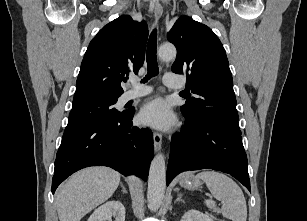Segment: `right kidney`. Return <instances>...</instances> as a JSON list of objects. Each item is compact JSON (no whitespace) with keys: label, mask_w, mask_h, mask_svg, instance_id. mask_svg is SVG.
<instances>
[{"label":"right kidney","mask_w":307,"mask_h":221,"mask_svg":"<svg viewBox=\"0 0 307 221\" xmlns=\"http://www.w3.org/2000/svg\"><path fill=\"white\" fill-rule=\"evenodd\" d=\"M115 217V221H125V207L120 201H109L97 208L88 221H106Z\"/></svg>","instance_id":"right-kidney-1"}]
</instances>
